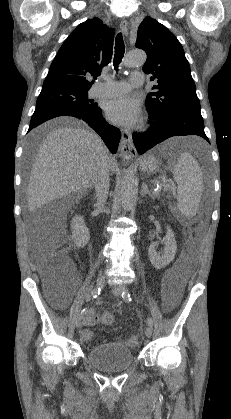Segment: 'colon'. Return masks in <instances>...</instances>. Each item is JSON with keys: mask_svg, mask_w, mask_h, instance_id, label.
<instances>
[{"mask_svg": "<svg viewBox=\"0 0 231 419\" xmlns=\"http://www.w3.org/2000/svg\"><path fill=\"white\" fill-rule=\"evenodd\" d=\"M41 269L48 286L54 290L66 291L75 280V272L60 249L45 253ZM102 322L105 325H112L114 322L113 315L104 312ZM128 344L133 347L137 346L138 340L131 338Z\"/></svg>", "mask_w": 231, "mask_h": 419, "instance_id": "colon-1", "label": "colon"}]
</instances>
